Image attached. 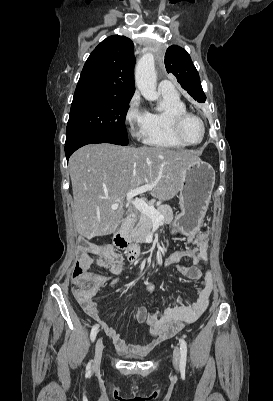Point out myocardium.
<instances>
[{"instance_id": "obj_1", "label": "myocardium", "mask_w": 273, "mask_h": 401, "mask_svg": "<svg viewBox=\"0 0 273 401\" xmlns=\"http://www.w3.org/2000/svg\"><path fill=\"white\" fill-rule=\"evenodd\" d=\"M189 117L198 118L200 123L202 124L203 138L199 142H196V143L188 142L182 136L181 127H182L183 123L185 122V120ZM171 130H172L173 136L175 137L176 140H178L185 146H189V147H195V146H199V145L203 144L208 137V127H207V124H206V121L204 120V118L202 116H200L199 114L188 112V111L179 113L172 118Z\"/></svg>"}]
</instances>
